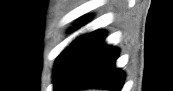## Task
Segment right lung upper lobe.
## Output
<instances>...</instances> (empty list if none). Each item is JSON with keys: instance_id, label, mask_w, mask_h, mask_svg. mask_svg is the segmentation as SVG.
<instances>
[{"instance_id": "1", "label": "right lung upper lobe", "mask_w": 173, "mask_h": 91, "mask_svg": "<svg viewBox=\"0 0 173 91\" xmlns=\"http://www.w3.org/2000/svg\"><path fill=\"white\" fill-rule=\"evenodd\" d=\"M89 20V18H83V19H81L80 21H79V24H82V23H84V22H86V21H88Z\"/></svg>"}]
</instances>
